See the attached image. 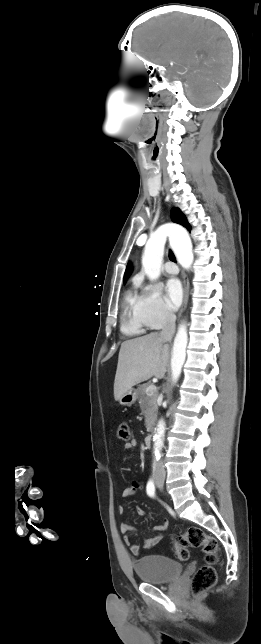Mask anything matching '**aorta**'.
I'll list each match as a JSON object with an SVG mask.
<instances>
[{
  "instance_id": "aorta-1",
  "label": "aorta",
  "mask_w": 261,
  "mask_h": 644,
  "mask_svg": "<svg viewBox=\"0 0 261 644\" xmlns=\"http://www.w3.org/2000/svg\"><path fill=\"white\" fill-rule=\"evenodd\" d=\"M167 236L172 242L178 241V236L172 229L160 228L155 231L149 238L146 243L144 253L142 256V266L145 274L150 280H156L162 269V261L164 255V247L166 243ZM176 256L180 264L188 268L193 262V253L191 246L187 245L184 248L176 246L175 248ZM188 342V335L185 325H181L176 337L174 339L172 356H171V371H172V380L174 383L180 377L182 366L186 358V347ZM165 434V422L161 419L156 427L154 435V454H159L163 446Z\"/></svg>"
}]
</instances>
